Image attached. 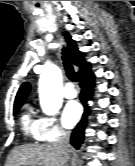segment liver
Masks as SVG:
<instances>
[{"label": "liver", "instance_id": "obj_1", "mask_svg": "<svg viewBox=\"0 0 135 166\" xmlns=\"http://www.w3.org/2000/svg\"><path fill=\"white\" fill-rule=\"evenodd\" d=\"M67 159L68 154L62 152L57 142L25 144L11 151L5 166H65Z\"/></svg>", "mask_w": 135, "mask_h": 166}]
</instances>
